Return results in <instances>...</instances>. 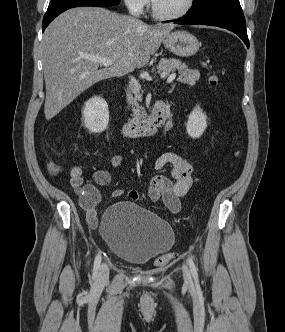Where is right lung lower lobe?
<instances>
[{
	"label": "right lung lower lobe",
	"mask_w": 285,
	"mask_h": 332,
	"mask_svg": "<svg viewBox=\"0 0 285 332\" xmlns=\"http://www.w3.org/2000/svg\"><path fill=\"white\" fill-rule=\"evenodd\" d=\"M78 6H111L103 3L95 2V1H87V0H71V1H63V2H55L49 5L46 14L43 18L42 23V31L46 29V27L51 23L53 19H55L60 13L64 12L67 9L78 7Z\"/></svg>",
	"instance_id": "obj_1"
}]
</instances>
